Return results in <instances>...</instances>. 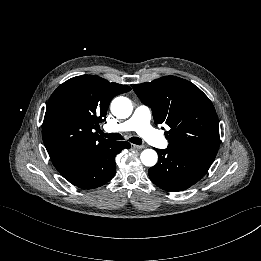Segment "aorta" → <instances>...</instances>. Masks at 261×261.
<instances>
[{
    "label": "aorta",
    "instance_id": "obj_1",
    "mask_svg": "<svg viewBox=\"0 0 261 261\" xmlns=\"http://www.w3.org/2000/svg\"><path fill=\"white\" fill-rule=\"evenodd\" d=\"M111 112L119 119L130 117L133 106L127 97H116L111 103ZM141 162L148 167H152L157 163L158 155L153 149H145L140 155Z\"/></svg>",
    "mask_w": 261,
    "mask_h": 261
}]
</instances>
